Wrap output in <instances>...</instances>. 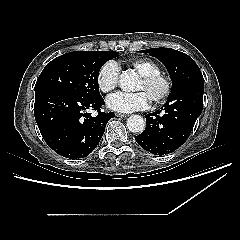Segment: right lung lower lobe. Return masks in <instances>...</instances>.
Here are the masks:
<instances>
[{
  "label": "right lung lower lobe",
  "mask_w": 240,
  "mask_h": 240,
  "mask_svg": "<svg viewBox=\"0 0 240 240\" xmlns=\"http://www.w3.org/2000/svg\"><path fill=\"white\" fill-rule=\"evenodd\" d=\"M102 96L83 98L68 92H35L34 115L45 142L58 154L77 159L89 155L102 138L113 112H101ZM88 110H95L93 117Z\"/></svg>",
  "instance_id": "1"
}]
</instances>
